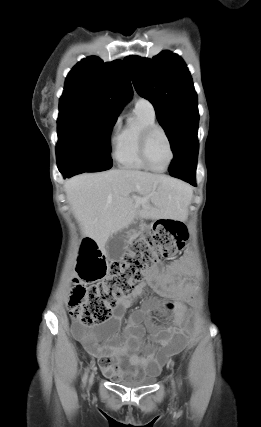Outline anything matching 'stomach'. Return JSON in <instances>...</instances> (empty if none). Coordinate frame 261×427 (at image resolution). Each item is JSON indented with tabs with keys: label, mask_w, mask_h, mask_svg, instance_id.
<instances>
[{
	"label": "stomach",
	"mask_w": 261,
	"mask_h": 427,
	"mask_svg": "<svg viewBox=\"0 0 261 427\" xmlns=\"http://www.w3.org/2000/svg\"><path fill=\"white\" fill-rule=\"evenodd\" d=\"M137 229H138V227H137V226H134V227L131 229V233H132V234H135V233H136V231H137Z\"/></svg>",
	"instance_id": "0dacf381"
}]
</instances>
